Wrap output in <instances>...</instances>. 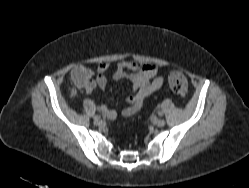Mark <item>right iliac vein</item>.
<instances>
[{"mask_svg":"<svg viewBox=\"0 0 249 188\" xmlns=\"http://www.w3.org/2000/svg\"><path fill=\"white\" fill-rule=\"evenodd\" d=\"M94 124L95 125H101L102 124V120L101 119H96V120H94Z\"/></svg>","mask_w":249,"mask_h":188,"instance_id":"63e3f726","label":"right iliac vein"}]
</instances>
